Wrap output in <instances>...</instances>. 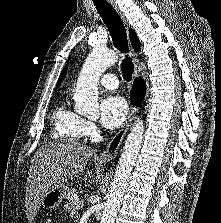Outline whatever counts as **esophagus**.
<instances>
[{
    "instance_id": "esophagus-1",
    "label": "esophagus",
    "mask_w": 221,
    "mask_h": 223,
    "mask_svg": "<svg viewBox=\"0 0 221 223\" xmlns=\"http://www.w3.org/2000/svg\"><path fill=\"white\" fill-rule=\"evenodd\" d=\"M110 3L113 5L115 10L120 14L124 24L127 26L126 19L124 18L123 14L119 11L117 5L114 3L113 0H110ZM130 50H131V56H132V59L134 62L133 76H134V78H136L140 74V59H139L138 54L132 49V47H130ZM135 113H136V110H135V108L132 107L130 109V112H129V115H128L126 121L122 125L119 132L112 138V140L108 144L107 148L97 156V161L99 163L106 164V163L111 162L115 158V156L117 155L118 150L122 144V141H123L127 131L129 130L132 121L134 120Z\"/></svg>"
}]
</instances>
